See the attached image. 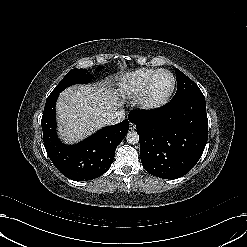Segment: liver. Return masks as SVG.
Listing matches in <instances>:
<instances>
[{
    "label": "liver",
    "mask_w": 247,
    "mask_h": 247,
    "mask_svg": "<svg viewBox=\"0 0 247 247\" xmlns=\"http://www.w3.org/2000/svg\"><path fill=\"white\" fill-rule=\"evenodd\" d=\"M122 106L117 90L109 83L75 85L58 98V132L65 143L76 142L106 125V116Z\"/></svg>",
    "instance_id": "1"
}]
</instances>
